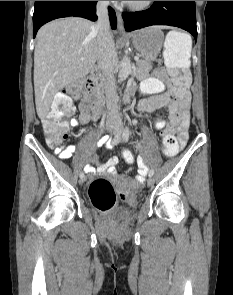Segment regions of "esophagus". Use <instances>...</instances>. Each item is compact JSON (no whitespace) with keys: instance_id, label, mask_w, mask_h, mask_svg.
<instances>
[{"instance_id":"obj_1","label":"esophagus","mask_w":233,"mask_h":295,"mask_svg":"<svg viewBox=\"0 0 233 295\" xmlns=\"http://www.w3.org/2000/svg\"><path fill=\"white\" fill-rule=\"evenodd\" d=\"M116 17H117V28L120 32H124V23H123V18L121 12L117 11L116 12Z\"/></svg>"}]
</instances>
